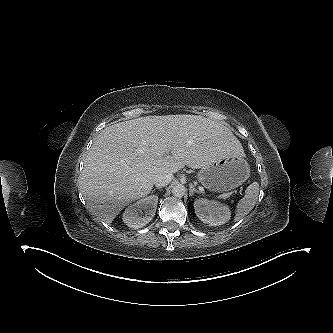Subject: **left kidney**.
Segmentation results:
<instances>
[{
  "mask_svg": "<svg viewBox=\"0 0 333 333\" xmlns=\"http://www.w3.org/2000/svg\"><path fill=\"white\" fill-rule=\"evenodd\" d=\"M196 216L210 226H220L231 218L229 206L208 199H196L194 202Z\"/></svg>",
  "mask_w": 333,
  "mask_h": 333,
  "instance_id": "5707ae66",
  "label": "left kidney"
}]
</instances>
